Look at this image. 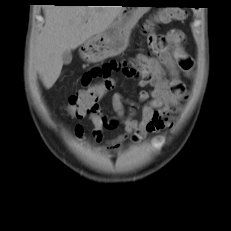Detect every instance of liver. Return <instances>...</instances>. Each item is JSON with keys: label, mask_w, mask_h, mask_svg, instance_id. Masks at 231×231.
<instances>
[{"label": "liver", "mask_w": 231, "mask_h": 231, "mask_svg": "<svg viewBox=\"0 0 231 231\" xmlns=\"http://www.w3.org/2000/svg\"><path fill=\"white\" fill-rule=\"evenodd\" d=\"M122 9V6L84 5L45 7V26L35 45L34 63L47 89L60 76L63 53L103 32Z\"/></svg>", "instance_id": "1"}]
</instances>
